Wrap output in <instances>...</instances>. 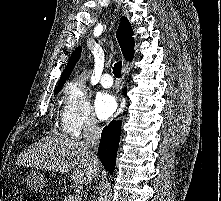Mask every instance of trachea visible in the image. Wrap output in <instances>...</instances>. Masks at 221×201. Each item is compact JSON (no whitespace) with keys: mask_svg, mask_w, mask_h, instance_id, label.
Listing matches in <instances>:
<instances>
[{"mask_svg":"<svg viewBox=\"0 0 221 201\" xmlns=\"http://www.w3.org/2000/svg\"><path fill=\"white\" fill-rule=\"evenodd\" d=\"M121 69H122V62L119 61V62L115 63V65L113 67V74L115 75V77H117V78L121 77Z\"/></svg>","mask_w":221,"mask_h":201,"instance_id":"1","label":"trachea"}]
</instances>
